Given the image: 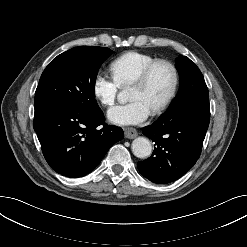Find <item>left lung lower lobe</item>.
Listing matches in <instances>:
<instances>
[{"mask_svg":"<svg viewBox=\"0 0 247 247\" xmlns=\"http://www.w3.org/2000/svg\"><path fill=\"white\" fill-rule=\"evenodd\" d=\"M209 121V99H199L182 111H166L144 127L142 133L156 146L148 159L137 163L140 173L158 184L182 177L200 157Z\"/></svg>","mask_w":247,"mask_h":247,"instance_id":"left-lung-lower-lobe-1","label":"left lung lower lobe"}]
</instances>
